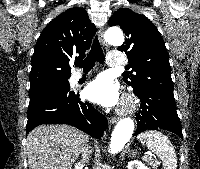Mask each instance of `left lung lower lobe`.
Listing matches in <instances>:
<instances>
[{
  "mask_svg": "<svg viewBox=\"0 0 200 169\" xmlns=\"http://www.w3.org/2000/svg\"><path fill=\"white\" fill-rule=\"evenodd\" d=\"M137 96L141 100V110L136 114L137 130L134 135L146 130L165 129L183 139L173 91L149 87Z\"/></svg>",
  "mask_w": 200,
  "mask_h": 169,
  "instance_id": "0a47b994",
  "label": "left lung lower lobe"
}]
</instances>
